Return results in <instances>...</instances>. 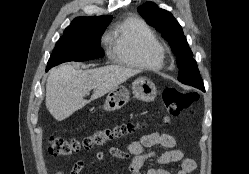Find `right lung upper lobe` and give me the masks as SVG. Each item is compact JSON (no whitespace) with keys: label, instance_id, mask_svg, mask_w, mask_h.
<instances>
[{"label":"right lung upper lobe","instance_id":"1","mask_svg":"<svg viewBox=\"0 0 249 174\" xmlns=\"http://www.w3.org/2000/svg\"><path fill=\"white\" fill-rule=\"evenodd\" d=\"M111 20V16L77 17L72 21L71 25L68 26L64 32L81 29L93 23L110 22Z\"/></svg>","mask_w":249,"mask_h":174}]
</instances>
